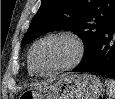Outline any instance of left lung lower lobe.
<instances>
[{"instance_id": "1", "label": "left lung lower lobe", "mask_w": 115, "mask_h": 99, "mask_svg": "<svg viewBox=\"0 0 115 99\" xmlns=\"http://www.w3.org/2000/svg\"><path fill=\"white\" fill-rule=\"evenodd\" d=\"M115 18L98 45L72 72H96L115 79Z\"/></svg>"}]
</instances>
